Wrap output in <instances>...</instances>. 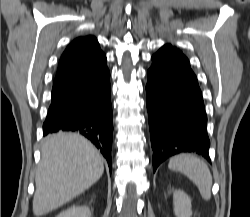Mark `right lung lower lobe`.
<instances>
[{
    "label": "right lung lower lobe",
    "instance_id": "right-lung-lower-lobe-1",
    "mask_svg": "<svg viewBox=\"0 0 250 217\" xmlns=\"http://www.w3.org/2000/svg\"><path fill=\"white\" fill-rule=\"evenodd\" d=\"M109 78L104 54L81 73L54 83L43 134L73 131L84 135L100 150L111 170L113 120Z\"/></svg>",
    "mask_w": 250,
    "mask_h": 217
}]
</instances>
